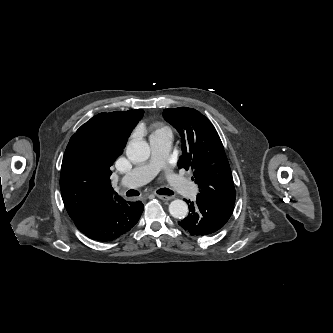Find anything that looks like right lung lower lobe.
<instances>
[{"instance_id":"1","label":"right lung lower lobe","mask_w":333,"mask_h":333,"mask_svg":"<svg viewBox=\"0 0 333 333\" xmlns=\"http://www.w3.org/2000/svg\"><path fill=\"white\" fill-rule=\"evenodd\" d=\"M143 208L140 201H122L108 206L90 217L73 221L88 238L108 242L129 231L138 222Z\"/></svg>"}]
</instances>
